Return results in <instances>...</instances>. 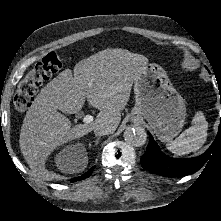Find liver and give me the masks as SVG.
<instances>
[{
	"instance_id": "1",
	"label": "liver",
	"mask_w": 221,
	"mask_h": 221,
	"mask_svg": "<svg viewBox=\"0 0 221 221\" xmlns=\"http://www.w3.org/2000/svg\"><path fill=\"white\" fill-rule=\"evenodd\" d=\"M147 57L121 48L105 49L52 79L28 109L21 127V153L33 175L43 180L60 176L45 168V161L58 146L88 134L98 125L116 130L121 111L127 105L132 84ZM87 99L90 106L100 110L95 120L71 127L63 114L78 113Z\"/></svg>"
}]
</instances>
